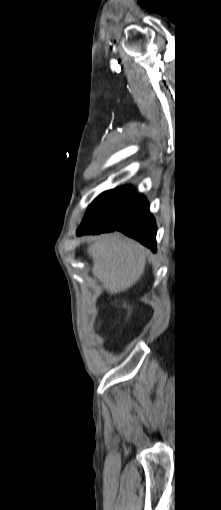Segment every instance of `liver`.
<instances>
[{
    "label": "liver",
    "mask_w": 221,
    "mask_h": 510,
    "mask_svg": "<svg viewBox=\"0 0 221 510\" xmlns=\"http://www.w3.org/2000/svg\"><path fill=\"white\" fill-rule=\"evenodd\" d=\"M87 253L93 260L94 277L110 294H117L140 280L148 251L130 238L111 233L93 237Z\"/></svg>",
    "instance_id": "1"
}]
</instances>
